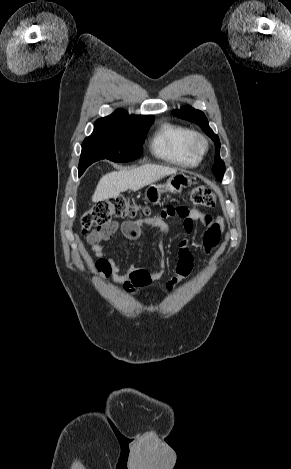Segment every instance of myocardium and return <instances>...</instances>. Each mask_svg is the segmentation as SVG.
<instances>
[{"mask_svg":"<svg viewBox=\"0 0 291 469\" xmlns=\"http://www.w3.org/2000/svg\"><path fill=\"white\" fill-rule=\"evenodd\" d=\"M209 149V143L206 137L200 133H195L190 142L189 150L197 158L201 159Z\"/></svg>","mask_w":291,"mask_h":469,"instance_id":"obj_1","label":"myocardium"}]
</instances>
